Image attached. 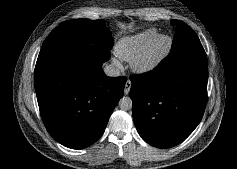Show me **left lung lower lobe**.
Returning <instances> with one entry per match:
<instances>
[{
	"mask_svg": "<svg viewBox=\"0 0 237 169\" xmlns=\"http://www.w3.org/2000/svg\"><path fill=\"white\" fill-rule=\"evenodd\" d=\"M130 97L140 136L157 148L185 140L204 114L207 99V57H189L133 75Z\"/></svg>",
	"mask_w": 237,
	"mask_h": 169,
	"instance_id": "0a47b994",
	"label": "left lung lower lobe"
}]
</instances>
